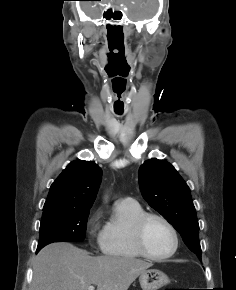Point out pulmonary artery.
<instances>
[{
    "label": "pulmonary artery",
    "instance_id": "e3ab8cb5",
    "mask_svg": "<svg viewBox=\"0 0 236 290\" xmlns=\"http://www.w3.org/2000/svg\"><path fill=\"white\" fill-rule=\"evenodd\" d=\"M123 201H133V199L130 198V197H127V198H125Z\"/></svg>",
    "mask_w": 236,
    "mask_h": 290
}]
</instances>
